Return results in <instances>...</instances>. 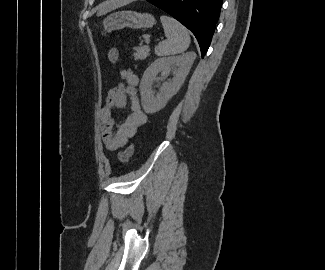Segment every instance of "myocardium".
I'll list each match as a JSON object with an SVG mask.
<instances>
[{
  "instance_id": "obj_1",
  "label": "myocardium",
  "mask_w": 325,
  "mask_h": 270,
  "mask_svg": "<svg viewBox=\"0 0 325 270\" xmlns=\"http://www.w3.org/2000/svg\"><path fill=\"white\" fill-rule=\"evenodd\" d=\"M126 1H134V0H126Z\"/></svg>"
}]
</instances>
